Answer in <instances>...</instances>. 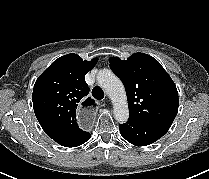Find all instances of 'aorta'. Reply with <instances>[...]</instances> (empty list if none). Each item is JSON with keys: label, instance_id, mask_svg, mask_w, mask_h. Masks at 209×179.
<instances>
[{"label": "aorta", "instance_id": "762f6f07", "mask_svg": "<svg viewBox=\"0 0 209 179\" xmlns=\"http://www.w3.org/2000/svg\"><path fill=\"white\" fill-rule=\"evenodd\" d=\"M97 81L113 103L114 118L120 123H125L129 118V109L123 83L108 69L99 71Z\"/></svg>", "mask_w": 209, "mask_h": 179}]
</instances>
